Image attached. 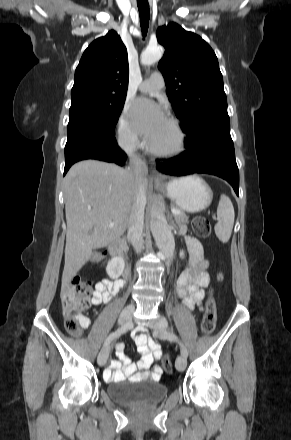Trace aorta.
<instances>
[{
  "mask_svg": "<svg viewBox=\"0 0 291 440\" xmlns=\"http://www.w3.org/2000/svg\"><path fill=\"white\" fill-rule=\"evenodd\" d=\"M160 46H148L141 54L142 65L148 66L158 62L163 56ZM150 229L159 250L170 259L175 248L174 236L167 221L157 212H152Z\"/></svg>",
  "mask_w": 291,
  "mask_h": 440,
  "instance_id": "1",
  "label": "aorta"
}]
</instances>
